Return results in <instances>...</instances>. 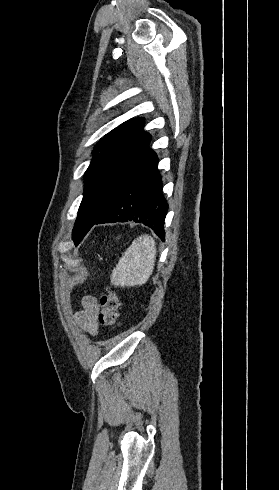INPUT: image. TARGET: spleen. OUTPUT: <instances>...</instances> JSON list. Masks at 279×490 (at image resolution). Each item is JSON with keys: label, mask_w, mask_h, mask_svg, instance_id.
Instances as JSON below:
<instances>
[{"label": "spleen", "mask_w": 279, "mask_h": 490, "mask_svg": "<svg viewBox=\"0 0 279 490\" xmlns=\"http://www.w3.org/2000/svg\"><path fill=\"white\" fill-rule=\"evenodd\" d=\"M156 242L144 234L136 238L112 270L111 284L116 288H134L146 284L155 266Z\"/></svg>", "instance_id": "1"}]
</instances>
